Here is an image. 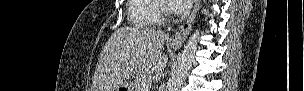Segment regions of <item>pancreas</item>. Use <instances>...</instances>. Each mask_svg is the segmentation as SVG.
I'll use <instances>...</instances> for the list:
<instances>
[{"label":"pancreas","mask_w":304,"mask_h":91,"mask_svg":"<svg viewBox=\"0 0 304 91\" xmlns=\"http://www.w3.org/2000/svg\"><path fill=\"white\" fill-rule=\"evenodd\" d=\"M152 81V77L151 75H144V74H140L138 76H136L135 80H134V86H135V90L136 91H141L142 88V84Z\"/></svg>","instance_id":"1"}]
</instances>
